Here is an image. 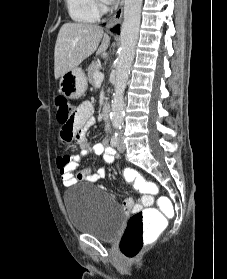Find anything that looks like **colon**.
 Segmentation results:
<instances>
[{
	"instance_id": "colon-1",
	"label": "colon",
	"mask_w": 227,
	"mask_h": 279,
	"mask_svg": "<svg viewBox=\"0 0 227 279\" xmlns=\"http://www.w3.org/2000/svg\"><path fill=\"white\" fill-rule=\"evenodd\" d=\"M56 117L61 125L62 138L67 141L73 130H79L75 127V105L64 97L59 96L55 101ZM126 179L139 190H144V196L154 195L159 192L155 183L144 179L137 171H129ZM168 216L159 209L151 210L144 208L134 213L126 226L125 232L120 242V251L125 258L133 259L137 257L142 249L146 237H153L165 227Z\"/></svg>"
}]
</instances>
